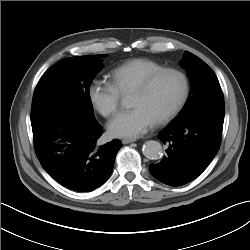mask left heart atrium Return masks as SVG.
Instances as JSON below:
<instances>
[{
    "label": "left heart atrium",
    "instance_id": "39dd6f15",
    "mask_svg": "<svg viewBox=\"0 0 250 250\" xmlns=\"http://www.w3.org/2000/svg\"><path fill=\"white\" fill-rule=\"evenodd\" d=\"M155 123V119L144 108L135 107L117 115L109 123V131L115 137L137 138Z\"/></svg>",
    "mask_w": 250,
    "mask_h": 250
}]
</instances>
